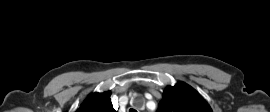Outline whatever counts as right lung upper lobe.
<instances>
[{
	"label": "right lung upper lobe",
	"mask_w": 270,
	"mask_h": 112,
	"mask_svg": "<svg viewBox=\"0 0 270 112\" xmlns=\"http://www.w3.org/2000/svg\"><path fill=\"white\" fill-rule=\"evenodd\" d=\"M111 92L90 95L76 112H117L110 99Z\"/></svg>",
	"instance_id": "obj_1"
}]
</instances>
